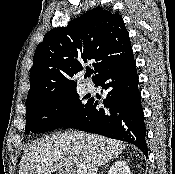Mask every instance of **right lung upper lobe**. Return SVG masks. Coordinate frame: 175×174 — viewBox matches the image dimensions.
<instances>
[{"label":"right lung upper lobe","mask_w":175,"mask_h":174,"mask_svg":"<svg viewBox=\"0 0 175 174\" xmlns=\"http://www.w3.org/2000/svg\"><path fill=\"white\" fill-rule=\"evenodd\" d=\"M131 52L122 17L103 8L92 9L45 35L34 54L26 104L76 88L71 78L84 63L93 66L95 83L106 69Z\"/></svg>","instance_id":"right-lung-upper-lobe-1"}]
</instances>
